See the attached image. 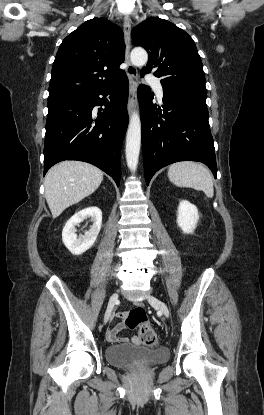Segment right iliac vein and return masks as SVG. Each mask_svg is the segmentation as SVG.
<instances>
[{"label": "right iliac vein", "mask_w": 264, "mask_h": 415, "mask_svg": "<svg viewBox=\"0 0 264 415\" xmlns=\"http://www.w3.org/2000/svg\"><path fill=\"white\" fill-rule=\"evenodd\" d=\"M117 300H118V292H115L111 295V297L109 299V303H108V306H107V309H106V312H105V315H104V323L105 324L108 322L109 317L112 313V310H113L114 305L116 304Z\"/></svg>", "instance_id": "obj_1"}]
</instances>
